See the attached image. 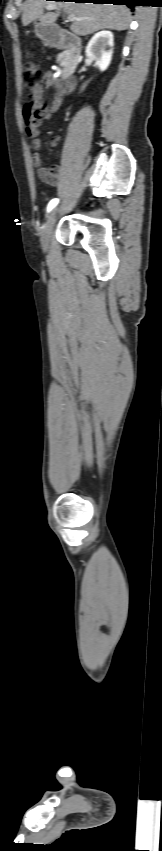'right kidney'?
Segmentation results:
<instances>
[{
  "label": "right kidney",
  "mask_w": 162,
  "mask_h": 851,
  "mask_svg": "<svg viewBox=\"0 0 162 851\" xmlns=\"http://www.w3.org/2000/svg\"><path fill=\"white\" fill-rule=\"evenodd\" d=\"M113 41L112 32L104 30L96 33L86 47L87 57L95 60L101 71L106 70L111 62Z\"/></svg>",
  "instance_id": "obj_1"
}]
</instances>
